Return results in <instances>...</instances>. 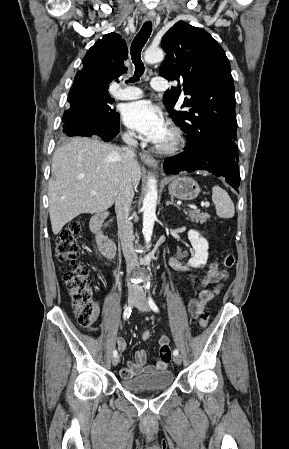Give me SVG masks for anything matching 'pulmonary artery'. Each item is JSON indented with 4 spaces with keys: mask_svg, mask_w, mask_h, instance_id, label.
I'll list each match as a JSON object with an SVG mask.
<instances>
[{
    "mask_svg": "<svg viewBox=\"0 0 289 449\" xmlns=\"http://www.w3.org/2000/svg\"><path fill=\"white\" fill-rule=\"evenodd\" d=\"M151 86L155 90H165L167 87V81L163 77H154L151 81ZM112 95L116 99L131 100L141 97L142 91L137 87L125 85L122 88H113Z\"/></svg>",
    "mask_w": 289,
    "mask_h": 449,
    "instance_id": "1",
    "label": "pulmonary artery"
}]
</instances>
